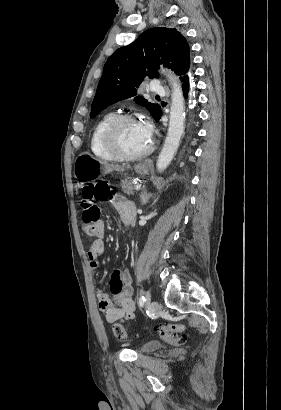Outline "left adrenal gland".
Returning <instances> with one entry per match:
<instances>
[{
	"label": "left adrenal gland",
	"mask_w": 281,
	"mask_h": 410,
	"mask_svg": "<svg viewBox=\"0 0 281 410\" xmlns=\"http://www.w3.org/2000/svg\"><path fill=\"white\" fill-rule=\"evenodd\" d=\"M152 196H153V194L147 193L146 189H144L143 192L140 195L141 204L145 205Z\"/></svg>",
	"instance_id": "obj_1"
}]
</instances>
